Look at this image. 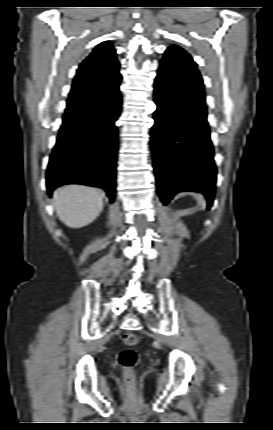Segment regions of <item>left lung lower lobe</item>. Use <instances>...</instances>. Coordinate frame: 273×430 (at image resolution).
Here are the masks:
<instances>
[{"label": "left lung lower lobe", "mask_w": 273, "mask_h": 430, "mask_svg": "<svg viewBox=\"0 0 273 430\" xmlns=\"http://www.w3.org/2000/svg\"><path fill=\"white\" fill-rule=\"evenodd\" d=\"M155 102L151 146L162 203L167 205L178 192L197 191L206 196L209 207L217 168L206 107L179 93L161 72L155 80Z\"/></svg>", "instance_id": "left-lung-lower-lobe-1"}]
</instances>
